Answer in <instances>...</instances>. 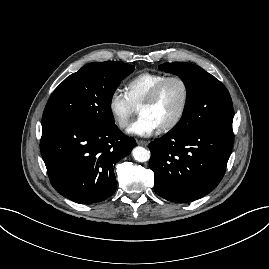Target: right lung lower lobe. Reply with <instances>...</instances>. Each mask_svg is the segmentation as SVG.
Segmentation results:
<instances>
[{
  "instance_id": "98d812e1",
  "label": "right lung lower lobe",
  "mask_w": 269,
  "mask_h": 269,
  "mask_svg": "<svg viewBox=\"0 0 269 269\" xmlns=\"http://www.w3.org/2000/svg\"><path fill=\"white\" fill-rule=\"evenodd\" d=\"M136 141L114 124L97 128L56 120L42 124L40 149L55 190L79 204L106 200L116 190L114 166Z\"/></svg>"
}]
</instances>
